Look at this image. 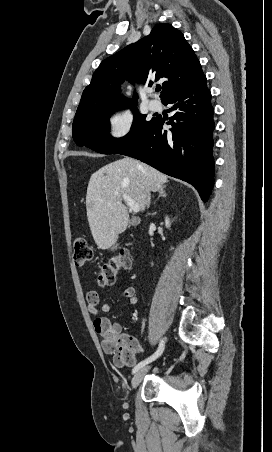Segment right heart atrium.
Returning <instances> with one entry per match:
<instances>
[{"instance_id":"right-heart-atrium-1","label":"right heart atrium","mask_w":272,"mask_h":452,"mask_svg":"<svg viewBox=\"0 0 272 452\" xmlns=\"http://www.w3.org/2000/svg\"><path fill=\"white\" fill-rule=\"evenodd\" d=\"M135 122L133 112L121 107L109 113L106 119L107 135L115 140L126 137L132 130Z\"/></svg>"}]
</instances>
